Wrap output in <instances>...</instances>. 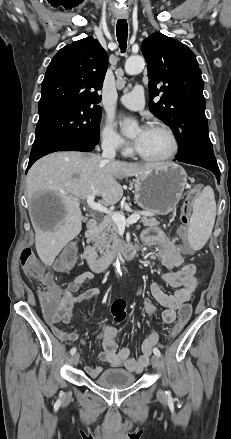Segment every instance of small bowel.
I'll return each mask as SVG.
<instances>
[{"label":"small bowel","mask_w":231,"mask_h":439,"mask_svg":"<svg viewBox=\"0 0 231 439\" xmlns=\"http://www.w3.org/2000/svg\"><path fill=\"white\" fill-rule=\"evenodd\" d=\"M145 243H152L158 247V255L161 263L169 271L161 276L164 283L175 289L173 293L166 292L158 283L151 284V294L154 299L165 310L162 319L165 323H173L177 318V308L181 303H189L190 295H194L199 286V280L195 276L196 266L192 263H184L183 254L185 247L177 244L171 234L165 233L159 228L151 227L142 234ZM178 268V270H172ZM94 278L93 272L86 271L74 277L66 286L61 289V300L55 311V319L48 320L53 333L62 341L84 340L76 332H65L60 330L59 323L69 324L74 318L75 307L85 300L92 299L100 294L98 288H90L77 294L79 288L87 281ZM157 307L147 298L142 301V312L152 315ZM117 329L107 323H100L97 326V339L101 342L102 351L99 359L108 363L111 367L123 366L132 372H141L149 363V356L152 348L158 343L159 336L151 332L142 343V354L138 358L131 355L129 348L118 349ZM85 371L96 377L102 371V366H86Z\"/></svg>","instance_id":"1"}]
</instances>
